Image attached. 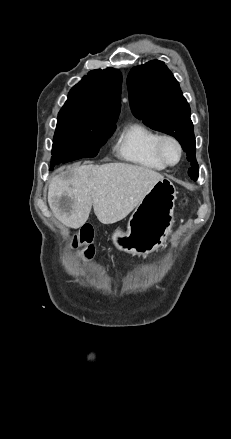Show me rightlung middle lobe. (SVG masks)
<instances>
[{"instance_id":"dd1d6c3e","label":"right lung middle lobe","mask_w":231,"mask_h":439,"mask_svg":"<svg viewBox=\"0 0 231 439\" xmlns=\"http://www.w3.org/2000/svg\"><path fill=\"white\" fill-rule=\"evenodd\" d=\"M115 128V124L90 118H58L50 170L60 163L95 157Z\"/></svg>"}]
</instances>
